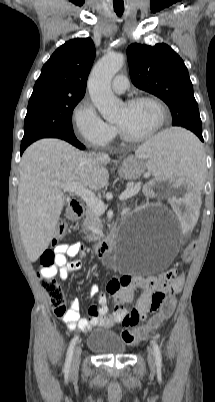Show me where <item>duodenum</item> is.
Masks as SVG:
<instances>
[{"instance_id":"duodenum-1","label":"duodenum","mask_w":215,"mask_h":402,"mask_svg":"<svg viewBox=\"0 0 215 402\" xmlns=\"http://www.w3.org/2000/svg\"><path fill=\"white\" fill-rule=\"evenodd\" d=\"M84 213V208L82 204L76 200L72 201L69 210H68V217L72 221H76L80 219L83 216ZM115 232L110 231L107 236L103 239L98 241L94 247L93 250L98 256H105L109 254L115 245Z\"/></svg>"}]
</instances>
